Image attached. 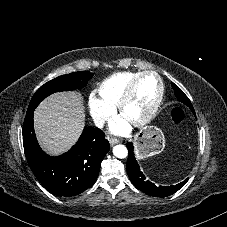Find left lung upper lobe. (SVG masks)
Listing matches in <instances>:
<instances>
[{
    "label": "left lung upper lobe",
    "mask_w": 227,
    "mask_h": 227,
    "mask_svg": "<svg viewBox=\"0 0 227 227\" xmlns=\"http://www.w3.org/2000/svg\"><path fill=\"white\" fill-rule=\"evenodd\" d=\"M171 85H172V88L174 89V93H175L176 98L180 102L186 104L191 110H194L193 107H192V104H191L190 100L184 94V92L177 85H175L174 83H171Z\"/></svg>",
    "instance_id": "obj_1"
}]
</instances>
